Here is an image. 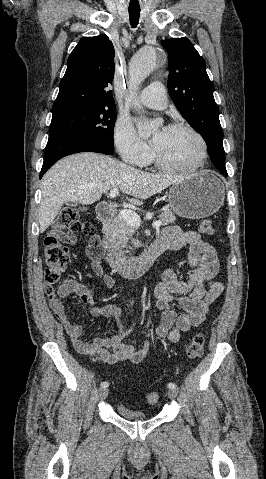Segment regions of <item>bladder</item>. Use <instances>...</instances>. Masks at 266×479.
<instances>
[{
	"label": "bladder",
	"instance_id": "31cf9c89",
	"mask_svg": "<svg viewBox=\"0 0 266 479\" xmlns=\"http://www.w3.org/2000/svg\"><path fill=\"white\" fill-rule=\"evenodd\" d=\"M117 410L119 415L126 419L145 420L148 418V415L145 412L132 410L124 403H118Z\"/></svg>",
	"mask_w": 266,
	"mask_h": 479
}]
</instances>
